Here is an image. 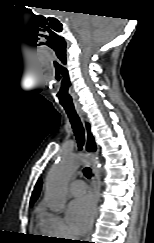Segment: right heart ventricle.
Masks as SVG:
<instances>
[{
	"label": "right heart ventricle",
	"instance_id": "right-heart-ventricle-1",
	"mask_svg": "<svg viewBox=\"0 0 154 243\" xmlns=\"http://www.w3.org/2000/svg\"><path fill=\"white\" fill-rule=\"evenodd\" d=\"M38 214L40 215V211H38ZM40 220H41V218H40ZM43 232V231H42ZM44 233V232H43Z\"/></svg>",
	"mask_w": 154,
	"mask_h": 243
}]
</instances>
